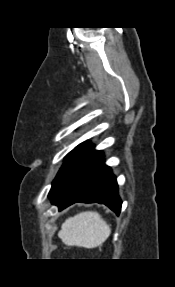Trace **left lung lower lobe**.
I'll return each mask as SVG.
<instances>
[{
  "label": "left lung lower lobe",
  "mask_w": 175,
  "mask_h": 287,
  "mask_svg": "<svg viewBox=\"0 0 175 287\" xmlns=\"http://www.w3.org/2000/svg\"><path fill=\"white\" fill-rule=\"evenodd\" d=\"M76 202L105 204L119 215L122 202L117 180L102 154L59 198L52 201L60 210Z\"/></svg>",
  "instance_id": "1"
}]
</instances>
